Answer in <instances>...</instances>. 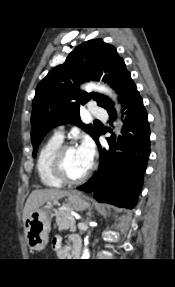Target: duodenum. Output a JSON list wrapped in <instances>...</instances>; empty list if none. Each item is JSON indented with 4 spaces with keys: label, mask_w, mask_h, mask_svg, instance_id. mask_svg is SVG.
<instances>
[{
    "label": "duodenum",
    "mask_w": 175,
    "mask_h": 287,
    "mask_svg": "<svg viewBox=\"0 0 175 287\" xmlns=\"http://www.w3.org/2000/svg\"><path fill=\"white\" fill-rule=\"evenodd\" d=\"M74 255L75 256H79L80 255V248L78 250H75Z\"/></svg>",
    "instance_id": "410a0bca"
}]
</instances>
